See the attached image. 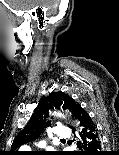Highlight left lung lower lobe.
Listing matches in <instances>:
<instances>
[{
    "mask_svg": "<svg viewBox=\"0 0 119 155\" xmlns=\"http://www.w3.org/2000/svg\"><path fill=\"white\" fill-rule=\"evenodd\" d=\"M74 117L81 127L82 142L78 145L82 151L78 155H102L101 141L96 126L80 104L76 105Z\"/></svg>",
    "mask_w": 119,
    "mask_h": 155,
    "instance_id": "left-lung-lower-lobe-1",
    "label": "left lung lower lobe"
}]
</instances>
